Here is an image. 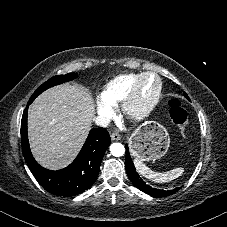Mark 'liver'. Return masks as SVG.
<instances>
[{"label": "liver", "instance_id": "1", "mask_svg": "<svg viewBox=\"0 0 227 227\" xmlns=\"http://www.w3.org/2000/svg\"><path fill=\"white\" fill-rule=\"evenodd\" d=\"M94 118V100L82 86H56L39 95L28 115L30 147L37 162L52 170L69 165Z\"/></svg>", "mask_w": 227, "mask_h": 227}]
</instances>
